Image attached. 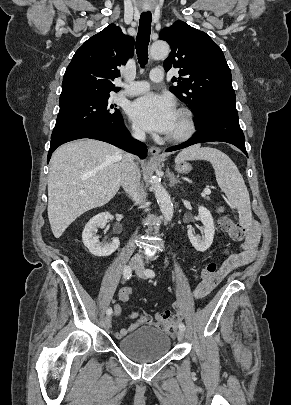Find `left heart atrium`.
<instances>
[{
	"label": "left heart atrium",
	"instance_id": "1",
	"mask_svg": "<svg viewBox=\"0 0 291 405\" xmlns=\"http://www.w3.org/2000/svg\"><path fill=\"white\" fill-rule=\"evenodd\" d=\"M176 113L174 103L169 97L154 93L139 97L128 107L129 117L149 132L169 133Z\"/></svg>",
	"mask_w": 291,
	"mask_h": 405
}]
</instances>
